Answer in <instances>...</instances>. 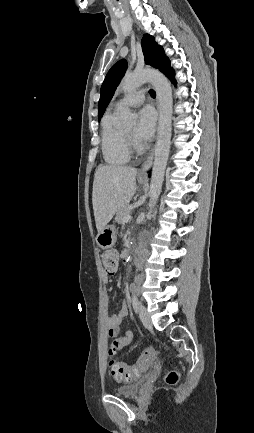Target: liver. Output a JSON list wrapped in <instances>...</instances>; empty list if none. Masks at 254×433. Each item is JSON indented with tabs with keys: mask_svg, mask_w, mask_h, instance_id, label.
Segmentation results:
<instances>
[{
	"mask_svg": "<svg viewBox=\"0 0 254 433\" xmlns=\"http://www.w3.org/2000/svg\"><path fill=\"white\" fill-rule=\"evenodd\" d=\"M137 169L103 165L94 175L92 204L97 231L100 232L114 214L128 205L136 190Z\"/></svg>",
	"mask_w": 254,
	"mask_h": 433,
	"instance_id": "1",
	"label": "liver"
}]
</instances>
